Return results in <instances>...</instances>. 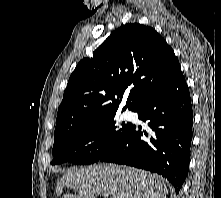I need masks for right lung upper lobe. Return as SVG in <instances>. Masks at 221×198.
I'll list each match as a JSON object with an SVG mask.
<instances>
[{
  "instance_id": "1",
  "label": "right lung upper lobe",
  "mask_w": 221,
  "mask_h": 198,
  "mask_svg": "<svg viewBox=\"0 0 221 198\" xmlns=\"http://www.w3.org/2000/svg\"><path fill=\"white\" fill-rule=\"evenodd\" d=\"M179 73L172 48L155 29L138 23L123 25L71 74L58 109L54 138L116 114L123 96L128 98L122 111L135 112Z\"/></svg>"
}]
</instances>
